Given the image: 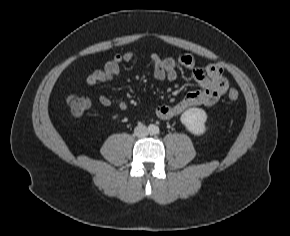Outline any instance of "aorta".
Segmentation results:
<instances>
[{
    "label": "aorta",
    "mask_w": 290,
    "mask_h": 236,
    "mask_svg": "<svg viewBox=\"0 0 290 236\" xmlns=\"http://www.w3.org/2000/svg\"><path fill=\"white\" fill-rule=\"evenodd\" d=\"M151 132H152V133H157V132H158V127H155V126H154V127L152 128Z\"/></svg>",
    "instance_id": "1"
}]
</instances>
